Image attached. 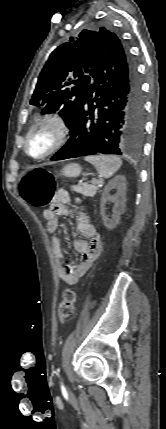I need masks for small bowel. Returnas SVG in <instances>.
Wrapping results in <instances>:
<instances>
[{
	"label": "small bowel",
	"instance_id": "small-bowel-1",
	"mask_svg": "<svg viewBox=\"0 0 166 429\" xmlns=\"http://www.w3.org/2000/svg\"><path fill=\"white\" fill-rule=\"evenodd\" d=\"M62 192L61 190L56 193L51 206L44 211L43 216L47 221L48 232L54 235L52 237V250L57 263V274L64 284L74 285L92 267L93 263L100 256L102 251V239L101 235L94 227L88 212H79L77 216V229L80 234L88 238L90 242L84 239H78L74 242L75 250L81 255L80 262L74 264H65L63 262L61 241L55 233L60 224L58 217L70 214L71 210L67 206L69 196L63 195Z\"/></svg>",
	"mask_w": 166,
	"mask_h": 429
}]
</instances>
